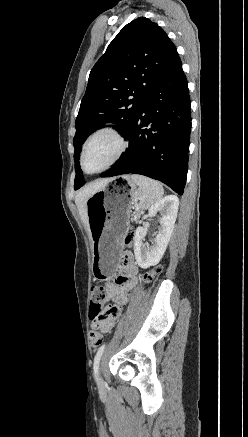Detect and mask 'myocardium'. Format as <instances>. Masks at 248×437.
<instances>
[{
  "mask_svg": "<svg viewBox=\"0 0 248 437\" xmlns=\"http://www.w3.org/2000/svg\"><path fill=\"white\" fill-rule=\"evenodd\" d=\"M101 134H110L113 137H115V139L119 143V148H118L117 152L115 153V155L113 156V158L106 165H104L103 167H101L98 170L89 172L88 170H86V167H85V152H86L87 146L90 143V141L92 139H94L95 137L101 135ZM128 146H129V143H128L126 137L120 131L119 128H117L114 125H104V126H101V127L97 128L95 131H93L85 139V141H84V143L82 145V149H81V153H80V165H81V168L87 174H98V173H101V172L109 169L110 167H112L114 164H116L122 158V156L125 154V152L128 149Z\"/></svg>",
  "mask_w": 248,
  "mask_h": 437,
  "instance_id": "obj_1",
  "label": "myocardium"
}]
</instances>
